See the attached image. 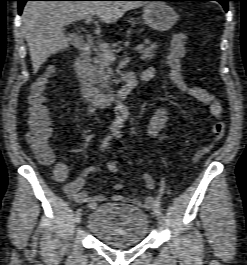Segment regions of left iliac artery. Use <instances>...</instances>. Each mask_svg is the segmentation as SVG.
Wrapping results in <instances>:
<instances>
[{
	"instance_id": "44dca946",
	"label": "left iliac artery",
	"mask_w": 247,
	"mask_h": 265,
	"mask_svg": "<svg viewBox=\"0 0 247 265\" xmlns=\"http://www.w3.org/2000/svg\"><path fill=\"white\" fill-rule=\"evenodd\" d=\"M164 183H165V181L162 180V187L160 189V194L158 195L157 199L155 200L154 206H153L154 212L155 213H159V214L162 213V208L160 206V199H161V196H162V193H163V190H164Z\"/></svg>"
}]
</instances>
